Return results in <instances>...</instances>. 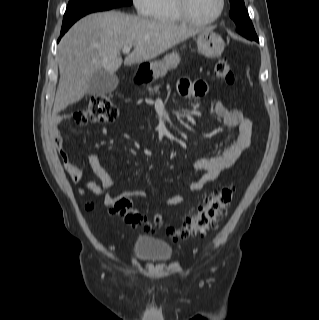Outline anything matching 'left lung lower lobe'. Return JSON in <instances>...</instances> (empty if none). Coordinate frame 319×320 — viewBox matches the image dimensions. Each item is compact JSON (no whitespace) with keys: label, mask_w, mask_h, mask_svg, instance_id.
Instances as JSON below:
<instances>
[{"label":"left lung lower lobe","mask_w":319,"mask_h":320,"mask_svg":"<svg viewBox=\"0 0 319 320\" xmlns=\"http://www.w3.org/2000/svg\"><path fill=\"white\" fill-rule=\"evenodd\" d=\"M237 32L240 33L242 36L246 37L247 39L259 41L256 34H249L240 30H237Z\"/></svg>","instance_id":"left-lung-lower-lobe-1"}]
</instances>
